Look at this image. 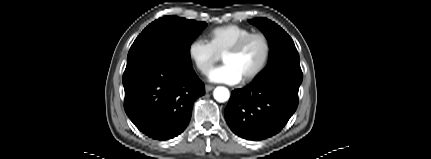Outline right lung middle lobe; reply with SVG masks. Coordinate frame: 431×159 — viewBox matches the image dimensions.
<instances>
[{
  "label": "right lung middle lobe",
  "mask_w": 431,
  "mask_h": 159,
  "mask_svg": "<svg viewBox=\"0 0 431 159\" xmlns=\"http://www.w3.org/2000/svg\"><path fill=\"white\" fill-rule=\"evenodd\" d=\"M207 26L205 22L165 16L149 24L132 44L127 64L148 55H163L192 66L190 47Z\"/></svg>",
  "instance_id": "1"
}]
</instances>
